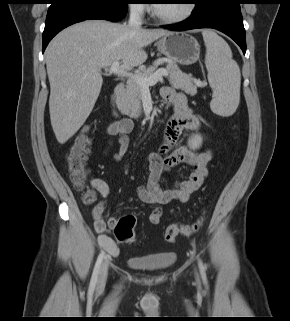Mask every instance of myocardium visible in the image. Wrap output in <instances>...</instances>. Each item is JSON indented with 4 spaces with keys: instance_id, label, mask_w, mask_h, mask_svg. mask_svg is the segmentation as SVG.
I'll return each mask as SVG.
<instances>
[{
    "instance_id": "1",
    "label": "myocardium",
    "mask_w": 290,
    "mask_h": 321,
    "mask_svg": "<svg viewBox=\"0 0 290 321\" xmlns=\"http://www.w3.org/2000/svg\"><path fill=\"white\" fill-rule=\"evenodd\" d=\"M186 3H187L186 9L180 15L173 16V17L162 16L157 12L155 5L151 6V15L156 21L162 24L171 25V24L181 23L187 20L188 18H190L195 10V3L192 0H188Z\"/></svg>"
}]
</instances>
